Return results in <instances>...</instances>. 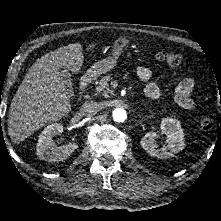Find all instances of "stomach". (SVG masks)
<instances>
[{
  "mask_svg": "<svg viewBox=\"0 0 221 221\" xmlns=\"http://www.w3.org/2000/svg\"><path fill=\"white\" fill-rule=\"evenodd\" d=\"M127 45L128 40L126 38L120 37L117 40H115L112 46L111 56L106 59H102L98 62H95L88 70V74L91 77L96 78L101 74H104L113 69L116 65L118 57L121 55V53Z\"/></svg>",
  "mask_w": 221,
  "mask_h": 221,
  "instance_id": "stomach-1",
  "label": "stomach"
}]
</instances>
